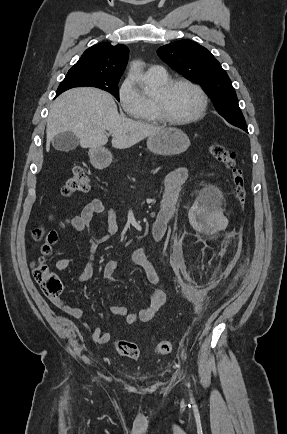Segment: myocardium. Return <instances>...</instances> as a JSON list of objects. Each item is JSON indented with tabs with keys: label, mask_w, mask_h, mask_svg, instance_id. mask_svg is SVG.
<instances>
[{
	"label": "myocardium",
	"mask_w": 287,
	"mask_h": 434,
	"mask_svg": "<svg viewBox=\"0 0 287 434\" xmlns=\"http://www.w3.org/2000/svg\"><path fill=\"white\" fill-rule=\"evenodd\" d=\"M179 85H185V86L192 88L198 94L199 99H200V105H199L197 112L194 115H192L188 118H184V119H175V118L171 117L167 113L165 105H164V101H163V97L167 93H169L173 88H175L176 86H179ZM158 91L160 92V96L153 97L155 109H156V112H157L159 118L168 124L179 125V126L190 124V123H193V122L201 119L206 112L207 105H208V99H207V95H206L205 91L198 84H196V83H194L188 79H183V78L168 79V81L159 85Z\"/></svg>",
	"instance_id": "obj_1"
}]
</instances>
